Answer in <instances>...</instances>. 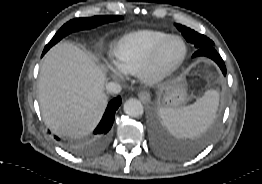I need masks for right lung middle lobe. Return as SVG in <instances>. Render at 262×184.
Returning a JSON list of instances; mask_svg holds the SVG:
<instances>
[{
  "mask_svg": "<svg viewBox=\"0 0 262 184\" xmlns=\"http://www.w3.org/2000/svg\"><path fill=\"white\" fill-rule=\"evenodd\" d=\"M121 16L118 15H100L88 18L73 19L64 24L59 31L54 35L51 41L45 46L43 54L46 53L54 44L60 41L63 37L78 30L94 28L98 25L120 20Z\"/></svg>",
  "mask_w": 262,
  "mask_h": 184,
  "instance_id": "obj_1",
  "label": "right lung middle lobe"
}]
</instances>
